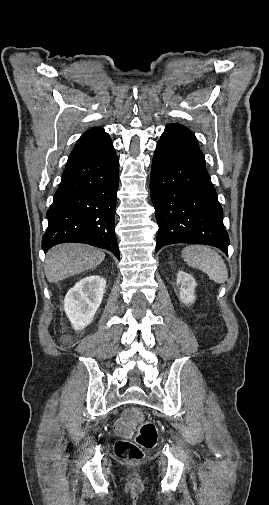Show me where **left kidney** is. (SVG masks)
<instances>
[{
	"instance_id": "1",
	"label": "left kidney",
	"mask_w": 269,
	"mask_h": 505,
	"mask_svg": "<svg viewBox=\"0 0 269 505\" xmlns=\"http://www.w3.org/2000/svg\"><path fill=\"white\" fill-rule=\"evenodd\" d=\"M177 285L180 286L179 298L181 302L186 305L194 303V293L197 283L193 276L184 271H179L177 274Z\"/></svg>"
}]
</instances>
